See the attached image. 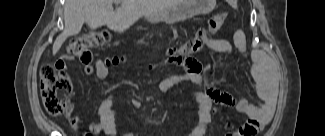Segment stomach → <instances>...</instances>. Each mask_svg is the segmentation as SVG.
<instances>
[{
  "label": "stomach",
  "instance_id": "0dacf381",
  "mask_svg": "<svg viewBox=\"0 0 325 136\" xmlns=\"http://www.w3.org/2000/svg\"><path fill=\"white\" fill-rule=\"evenodd\" d=\"M215 4L216 0H178V3L170 9L151 14L147 18L152 22L175 23L197 14L209 13Z\"/></svg>",
  "mask_w": 325,
  "mask_h": 136
}]
</instances>
